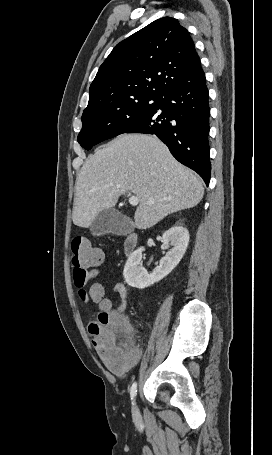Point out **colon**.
<instances>
[{"mask_svg": "<svg viewBox=\"0 0 272 455\" xmlns=\"http://www.w3.org/2000/svg\"><path fill=\"white\" fill-rule=\"evenodd\" d=\"M71 262L74 269V284L80 298L84 301L100 303L104 309L97 322L89 325L92 344L105 366L118 371L129 366L136 357L130 335L132 330L123 318L114 316L106 309L103 287L99 283H90L92 268L103 260L102 251L84 237H75L71 241Z\"/></svg>", "mask_w": 272, "mask_h": 455, "instance_id": "1", "label": "colon"}]
</instances>
